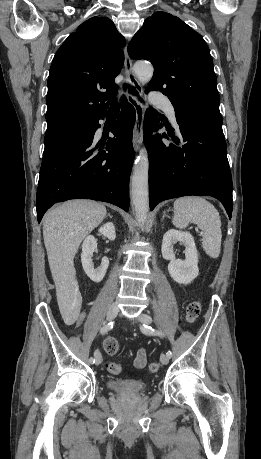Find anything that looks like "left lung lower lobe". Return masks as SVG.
<instances>
[{"mask_svg":"<svg viewBox=\"0 0 261 459\" xmlns=\"http://www.w3.org/2000/svg\"><path fill=\"white\" fill-rule=\"evenodd\" d=\"M176 120L180 136H176L173 129L162 134L175 144H164L160 135L145 136L149 153L150 210L167 199L210 195L222 202L231 219L232 178L222 119L176 115ZM162 127L153 109L146 113V134Z\"/></svg>","mask_w":261,"mask_h":459,"instance_id":"1","label":"left lung lower lobe"}]
</instances>
